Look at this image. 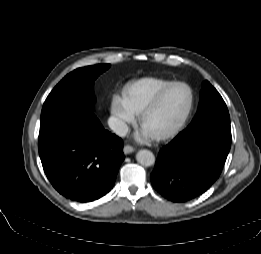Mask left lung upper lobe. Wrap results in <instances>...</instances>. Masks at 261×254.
Listing matches in <instances>:
<instances>
[{
	"label": "left lung upper lobe",
	"mask_w": 261,
	"mask_h": 254,
	"mask_svg": "<svg viewBox=\"0 0 261 254\" xmlns=\"http://www.w3.org/2000/svg\"><path fill=\"white\" fill-rule=\"evenodd\" d=\"M214 125L230 126V116L220 94L208 81H204L198 111L191 124L184 131L196 133Z\"/></svg>",
	"instance_id": "left-lung-upper-lobe-1"
}]
</instances>
